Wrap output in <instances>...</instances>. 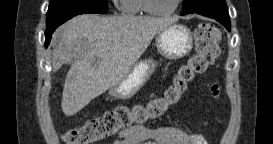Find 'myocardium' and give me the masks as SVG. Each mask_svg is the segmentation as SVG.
Listing matches in <instances>:
<instances>
[{"instance_id":"obj_1","label":"myocardium","mask_w":273,"mask_h":144,"mask_svg":"<svg viewBox=\"0 0 273 144\" xmlns=\"http://www.w3.org/2000/svg\"><path fill=\"white\" fill-rule=\"evenodd\" d=\"M182 0H176L174 6L169 10H157L152 6V0H143L142 8L150 15L166 16L173 14L179 7Z\"/></svg>"}]
</instances>
